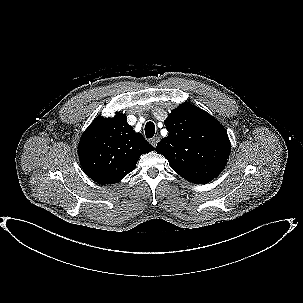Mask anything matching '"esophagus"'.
Wrapping results in <instances>:
<instances>
[{"instance_id": "34e87169", "label": "esophagus", "mask_w": 303, "mask_h": 303, "mask_svg": "<svg viewBox=\"0 0 303 303\" xmlns=\"http://www.w3.org/2000/svg\"><path fill=\"white\" fill-rule=\"evenodd\" d=\"M159 137H154L150 140L153 147H156L157 143L159 142Z\"/></svg>"}]
</instances>
